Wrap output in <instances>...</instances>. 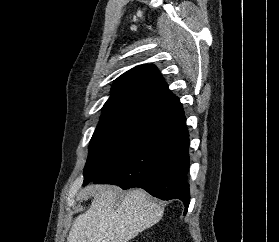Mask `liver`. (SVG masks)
I'll return each instance as SVG.
<instances>
[{
    "label": "liver",
    "instance_id": "liver-1",
    "mask_svg": "<svg viewBox=\"0 0 279 242\" xmlns=\"http://www.w3.org/2000/svg\"><path fill=\"white\" fill-rule=\"evenodd\" d=\"M93 201L79 215L69 232L67 242H129L140 232L160 221L164 208L141 189L122 196L110 185H90Z\"/></svg>",
    "mask_w": 279,
    "mask_h": 242
}]
</instances>
